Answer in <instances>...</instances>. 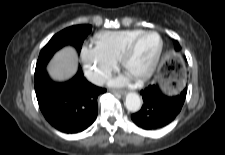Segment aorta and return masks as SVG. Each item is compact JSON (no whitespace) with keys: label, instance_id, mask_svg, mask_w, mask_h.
Wrapping results in <instances>:
<instances>
[{"label":"aorta","instance_id":"aorta-1","mask_svg":"<svg viewBox=\"0 0 225 155\" xmlns=\"http://www.w3.org/2000/svg\"><path fill=\"white\" fill-rule=\"evenodd\" d=\"M125 106L130 112H137L141 108V99L136 93H128L125 99Z\"/></svg>","mask_w":225,"mask_h":155}]
</instances>
